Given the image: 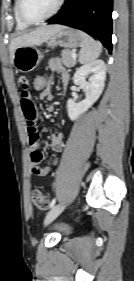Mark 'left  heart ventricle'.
Listing matches in <instances>:
<instances>
[{"label": "left heart ventricle", "instance_id": "obj_1", "mask_svg": "<svg viewBox=\"0 0 134 281\" xmlns=\"http://www.w3.org/2000/svg\"><path fill=\"white\" fill-rule=\"evenodd\" d=\"M59 0H23L24 13L32 18H42L53 11Z\"/></svg>", "mask_w": 134, "mask_h": 281}]
</instances>
